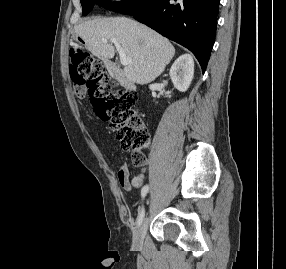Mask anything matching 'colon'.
<instances>
[{
    "instance_id": "1",
    "label": "colon",
    "mask_w": 286,
    "mask_h": 269,
    "mask_svg": "<svg viewBox=\"0 0 286 269\" xmlns=\"http://www.w3.org/2000/svg\"><path fill=\"white\" fill-rule=\"evenodd\" d=\"M70 75L79 95L86 87L96 115L117 130L124 149L132 154L136 167L145 164L143 149L148 145L149 133L141 118L134 113L135 95L115 87L109 80L103 63L78 45L69 49Z\"/></svg>"
}]
</instances>
